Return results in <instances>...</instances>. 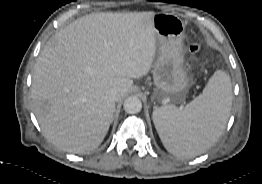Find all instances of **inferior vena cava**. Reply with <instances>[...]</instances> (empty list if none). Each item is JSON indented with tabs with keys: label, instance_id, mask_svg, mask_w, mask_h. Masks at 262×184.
Wrapping results in <instances>:
<instances>
[{
	"label": "inferior vena cava",
	"instance_id": "inferior-vena-cava-1",
	"mask_svg": "<svg viewBox=\"0 0 262 184\" xmlns=\"http://www.w3.org/2000/svg\"><path fill=\"white\" fill-rule=\"evenodd\" d=\"M106 98L112 103L116 102L119 98L118 91L114 88L109 89L106 93Z\"/></svg>",
	"mask_w": 262,
	"mask_h": 184
}]
</instances>
